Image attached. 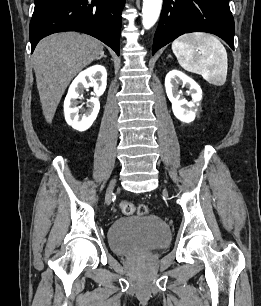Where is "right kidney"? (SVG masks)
Listing matches in <instances>:
<instances>
[{"label":"right kidney","instance_id":"1","mask_svg":"<svg viewBox=\"0 0 261 306\" xmlns=\"http://www.w3.org/2000/svg\"><path fill=\"white\" fill-rule=\"evenodd\" d=\"M107 84V72L105 67L94 65L79 73V75L71 83L67 96L64 101V114L66 122L75 130L85 131L91 127L95 121L99 110V97L104 93ZM94 87L96 98H91L92 103L90 109L83 115L78 114V98L84 88Z\"/></svg>","mask_w":261,"mask_h":306}]
</instances>
